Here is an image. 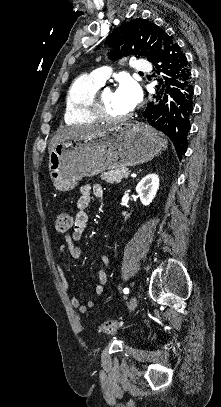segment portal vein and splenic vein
I'll list each match as a JSON object with an SVG mask.
<instances>
[{
  "label": "portal vein and splenic vein",
  "mask_w": 221,
  "mask_h": 407,
  "mask_svg": "<svg viewBox=\"0 0 221 407\" xmlns=\"http://www.w3.org/2000/svg\"><path fill=\"white\" fill-rule=\"evenodd\" d=\"M129 174H130V172H126V173H125V175H126L127 177L129 176Z\"/></svg>",
  "instance_id": "obj_1"
}]
</instances>
